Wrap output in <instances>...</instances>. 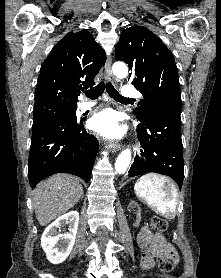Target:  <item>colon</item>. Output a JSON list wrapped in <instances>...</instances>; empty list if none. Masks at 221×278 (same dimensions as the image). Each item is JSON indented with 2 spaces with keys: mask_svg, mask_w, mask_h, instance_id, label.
I'll return each instance as SVG.
<instances>
[{
  "mask_svg": "<svg viewBox=\"0 0 221 278\" xmlns=\"http://www.w3.org/2000/svg\"><path fill=\"white\" fill-rule=\"evenodd\" d=\"M151 226L156 232H164L168 228V222L163 217L155 216L152 219ZM158 266L163 273H170L175 267V259L164 253L159 259Z\"/></svg>",
  "mask_w": 221,
  "mask_h": 278,
  "instance_id": "1",
  "label": "colon"
}]
</instances>
